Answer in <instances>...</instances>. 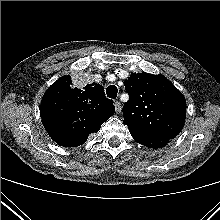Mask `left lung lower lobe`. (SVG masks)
I'll return each instance as SVG.
<instances>
[{
    "label": "left lung lower lobe",
    "mask_w": 220,
    "mask_h": 220,
    "mask_svg": "<svg viewBox=\"0 0 220 220\" xmlns=\"http://www.w3.org/2000/svg\"><path fill=\"white\" fill-rule=\"evenodd\" d=\"M130 134L135 139V141L150 148H162L171 141V139L154 138V137L142 136L134 133H130Z\"/></svg>",
    "instance_id": "0a47b994"
}]
</instances>
